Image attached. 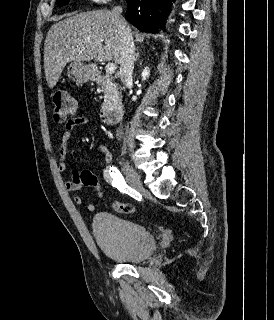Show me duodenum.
<instances>
[{"instance_id":"410a0bca","label":"duodenum","mask_w":274,"mask_h":320,"mask_svg":"<svg viewBox=\"0 0 274 320\" xmlns=\"http://www.w3.org/2000/svg\"><path fill=\"white\" fill-rule=\"evenodd\" d=\"M94 78L96 80L101 81L102 75L99 73H96L94 75ZM123 113H124V107L122 105L118 104V105L111 106L102 111L103 122L108 124L118 123L122 119Z\"/></svg>"}]
</instances>
